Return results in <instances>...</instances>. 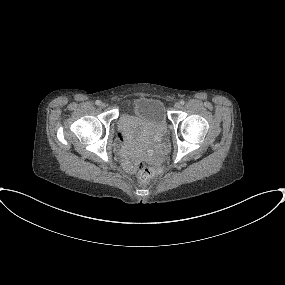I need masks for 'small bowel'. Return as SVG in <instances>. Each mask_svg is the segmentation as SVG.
Returning a JSON list of instances; mask_svg holds the SVG:
<instances>
[{
	"instance_id": "small-bowel-1",
	"label": "small bowel",
	"mask_w": 285,
	"mask_h": 285,
	"mask_svg": "<svg viewBox=\"0 0 285 285\" xmlns=\"http://www.w3.org/2000/svg\"><path fill=\"white\" fill-rule=\"evenodd\" d=\"M126 165H127L128 170L132 171L133 164H131L130 162H127Z\"/></svg>"
}]
</instances>
